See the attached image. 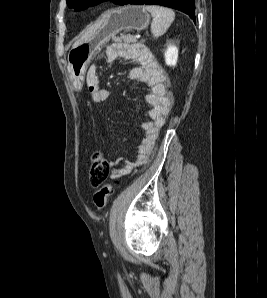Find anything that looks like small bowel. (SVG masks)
Instances as JSON below:
<instances>
[{"label":"small bowel","instance_id":"small-bowel-1","mask_svg":"<svg viewBox=\"0 0 267 298\" xmlns=\"http://www.w3.org/2000/svg\"><path fill=\"white\" fill-rule=\"evenodd\" d=\"M121 58L135 60L139 63V66L130 70L129 77L149 87L146 102L150 108L148 110V120L142 123L144 137L138 146L137 160L124 161L123 166H120L123 162L122 159L112 160L110 166L112 167L113 177L126 175L134 167L148 161L158 132L170 113L173 103L172 95L167 89L169 84L168 76L146 46L121 42L111 44L106 50V62L112 63ZM86 85L95 103L104 102L109 98L110 92L102 86L95 65L88 69Z\"/></svg>","mask_w":267,"mask_h":298}]
</instances>
